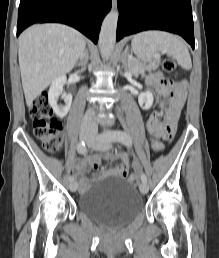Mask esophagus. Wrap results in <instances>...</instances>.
<instances>
[{
    "label": "esophagus",
    "instance_id": "esophagus-1",
    "mask_svg": "<svg viewBox=\"0 0 219 258\" xmlns=\"http://www.w3.org/2000/svg\"><path fill=\"white\" fill-rule=\"evenodd\" d=\"M117 6V0H112V7L115 8Z\"/></svg>",
    "mask_w": 219,
    "mask_h": 258
}]
</instances>
